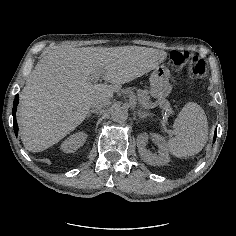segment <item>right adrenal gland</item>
I'll return each mask as SVG.
<instances>
[{"label":"right adrenal gland","mask_w":236,"mask_h":236,"mask_svg":"<svg viewBox=\"0 0 236 236\" xmlns=\"http://www.w3.org/2000/svg\"><path fill=\"white\" fill-rule=\"evenodd\" d=\"M100 111H101V108H99V109L92 108V109L89 111L88 115H87V119H90L91 114H93V113H94V114H98Z\"/></svg>","instance_id":"1"}]
</instances>
